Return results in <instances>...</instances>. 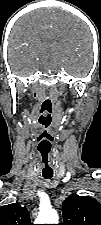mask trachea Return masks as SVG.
<instances>
[{"instance_id": "obj_1", "label": "trachea", "mask_w": 101, "mask_h": 225, "mask_svg": "<svg viewBox=\"0 0 101 225\" xmlns=\"http://www.w3.org/2000/svg\"><path fill=\"white\" fill-rule=\"evenodd\" d=\"M45 179H51L52 176H44Z\"/></svg>"}]
</instances>
